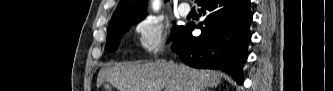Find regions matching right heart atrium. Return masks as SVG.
I'll list each match as a JSON object with an SVG mask.
<instances>
[{"label":"right heart atrium","mask_w":333,"mask_h":91,"mask_svg":"<svg viewBox=\"0 0 333 91\" xmlns=\"http://www.w3.org/2000/svg\"><path fill=\"white\" fill-rule=\"evenodd\" d=\"M134 31L146 56H157L168 43V26L160 18L145 17L135 24Z\"/></svg>","instance_id":"d8ad5b80"}]
</instances>
